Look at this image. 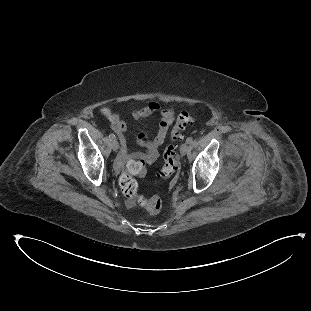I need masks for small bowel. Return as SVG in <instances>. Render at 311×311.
<instances>
[{"label":"small bowel","mask_w":311,"mask_h":311,"mask_svg":"<svg viewBox=\"0 0 311 311\" xmlns=\"http://www.w3.org/2000/svg\"><path fill=\"white\" fill-rule=\"evenodd\" d=\"M158 112L160 113V121L155 136L149 139L145 133H141L137 137V142L144 148V151L136 153L135 157L143 159L146 163H152L158 158L159 148L163 144L169 127L174 120V111L171 108H162L157 102H151L133 110L131 114L134 120H140ZM112 128L121 145L119 159L122 163H125L132 156L127 144L126 123L123 119L116 117Z\"/></svg>","instance_id":"c3829d8e"}]
</instances>
